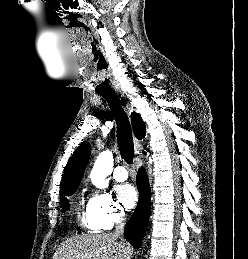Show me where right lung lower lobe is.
<instances>
[{"instance_id": "98d812e1", "label": "right lung lower lobe", "mask_w": 248, "mask_h": 259, "mask_svg": "<svg viewBox=\"0 0 248 259\" xmlns=\"http://www.w3.org/2000/svg\"><path fill=\"white\" fill-rule=\"evenodd\" d=\"M137 186L140 192V199L134 213L125 226V238L135 249L141 247L151 209L150 186L146 173L142 168L137 175Z\"/></svg>"}]
</instances>
